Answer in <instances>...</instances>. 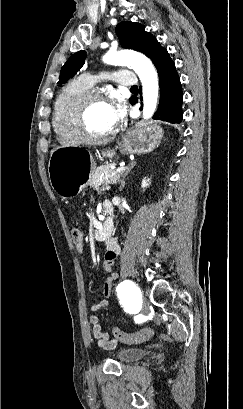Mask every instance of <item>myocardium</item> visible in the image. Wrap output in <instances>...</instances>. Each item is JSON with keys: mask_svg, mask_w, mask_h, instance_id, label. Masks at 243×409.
Returning a JSON list of instances; mask_svg holds the SVG:
<instances>
[{"mask_svg": "<svg viewBox=\"0 0 243 409\" xmlns=\"http://www.w3.org/2000/svg\"><path fill=\"white\" fill-rule=\"evenodd\" d=\"M95 101L110 102V95L99 90H88L75 98L70 108L71 124L80 139L84 142H102L108 139L113 133V130H111L105 134L94 135L88 131L85 119L86 111L88 106Z\"/></svg>", "mask_w": 243, "mask_h": 409, "instance_id": "1", "label": "myocardium"}]
</instances>
